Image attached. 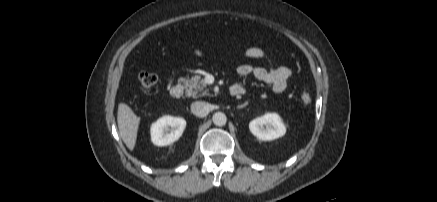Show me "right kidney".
Here are the masks:
<instances>
[{
    "instance_id": "1",
    "label": "right kidney",
    "mask_w": 437,
    "mask_h": 202,
    "mask_svg": "<svg viewBox=\"0 0 437 202\" xmlns=\"http://www.w3.org/2000/svg\"><path fill=\"white\" fill-rule=\"evenodd\" d=\"M186 127L180 117L163 116L151 126V140L157 146H167L177 141Z\"/></svg>"
}]
</instances>
